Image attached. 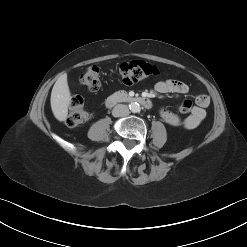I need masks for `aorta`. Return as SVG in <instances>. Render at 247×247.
Masks as SVG:
<instances>
[{
  "label": "aorta",
  "instance_id": "obj_1",
  "mask_svg": "<svg viewBox=\"0 0 247 247\" xmlns=\"http://www.w3.org/2000/svg\"><path fill=\"white\" fill-rule=\"evenodd\" d=\"M130 110L133 112V113H137L140 111V105L138 103H132L130 105Z\"/></svg>",
  "mask_w": 247,
  "mask_h": 247
}]
</instances>
